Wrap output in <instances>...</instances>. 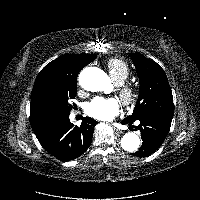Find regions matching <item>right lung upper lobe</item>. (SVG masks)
<instances>
[{"instance_id": "right-lung-upper-lobe-1", "label": "right lung upper lobe", "mask_w": 200, "mask_h": 200, "mask_svg": "<svg viewBox=\"0 0 200 200\" xmlns=\"http://www.w3.org/2000/svg\"><path fill=\"white\" fill-rule=\"evenodd\" d=\"M95 54H67L48 63L38 74L31 96L37 89L46 85H60L77 80L80 70L91 63Z\"/></svg>"}]
</instances>
